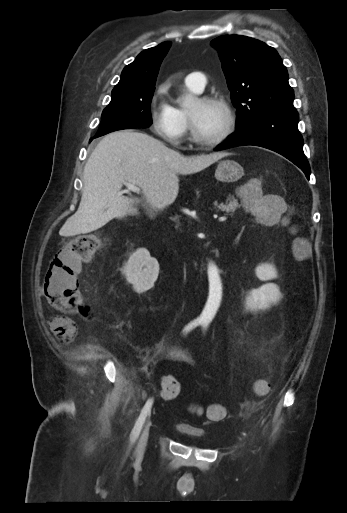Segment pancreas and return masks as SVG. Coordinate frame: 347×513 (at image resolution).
<instances>
[{
    "label": "pancreas",
    "instance_id": "pancreas-1",
    "mask_svg": "<svg viewBox=\"0 0 347 513\" xmlns=\"http://www.w3.org/2000/svg\"><path fill=\"white\" fill-rule=\"evenodd\" d=\"M240 205L238 204L237 199H235L233 196H230L225 203L215 204V209L217 211L226 212L229 216H234L235 211L237 208H239Z\"/></svg>",
    "mask_w": 347,
    "mask_h": 513
}]
</instances>
